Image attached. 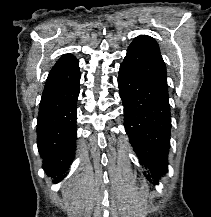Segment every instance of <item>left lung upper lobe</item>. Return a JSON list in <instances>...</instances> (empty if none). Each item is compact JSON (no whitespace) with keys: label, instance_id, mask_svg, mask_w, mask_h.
I'll return each instance as SVG.
<instances>
[{"label":"left lung upper lobe","instance_id":"5c2ea615","mask_svg":"<svg viewBox=\"0 0 211 217\" xmlns=\"http://www.w3.org/2000/svg\"><path fill=\"white\" fill-rule=\"evenodd\" d=\"M139 73L158 89L168 94L166 66L157 42L147 35L136 37L127 50L122 63Z\"/></svg>","mask_w":211,"mask_h":217}]
</instances>
